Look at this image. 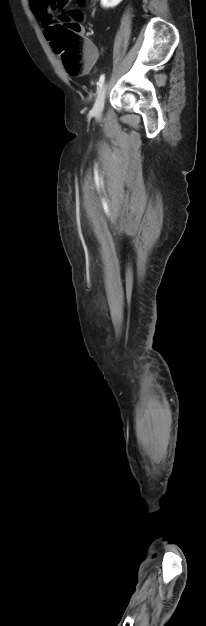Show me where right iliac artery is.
<instances>
[{
    "label": "right iliac artery",
    "mask_w": 206,
    "mask_h": 626,
    "mask_svg": "<svg viewBox=\"0 0 206 626\" xmlns=\"http://www.w3.org/2000/svg\"><path fill=\"white\" fill-rule=\"evenodd\" d=\"M104 80H105V76H104V75H101V76H100V78H99V81L97 82V85H98L99 87H101V86H102V84H103V82H104Z\"/></svg>",
    "instance_id": "82829eb1"
}]
</instances>
